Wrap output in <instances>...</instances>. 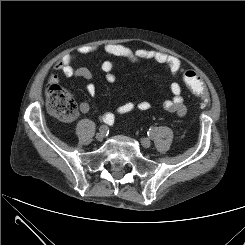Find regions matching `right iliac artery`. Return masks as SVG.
<instances>
[{"label": "right iliac artery", "mask_w": 245, "mask_h": 245, "mask_svg": "<svg viewBox=\"0 0 245 245\" xmlns=\"http://www.w3.org/2000/svg\"><path fill=\"white\" fill-rule=\"evenodd\" d=\"M104 122L106 123V124H109V125H111L113 122H114V118L112 117V119H105L104 120ZM100 131L101 132H103L104 134H108L109 133V128L106 126V125H102L101 127H100Z\"/></svg>", "instance_id": "82829eb1"}]
</instances>
